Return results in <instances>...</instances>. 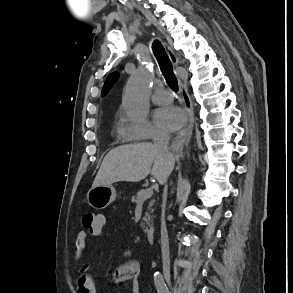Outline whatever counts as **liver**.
Listing matches in <instances>:
<instances>
[{
    "instance_id": "6515ba94",
    "label": "liver",
    "mask_w": 293,
    "mask_h": 293,
    "mask_svg": "<svg viewBox=\"0 0 293 293\" xmlns=\"http://www.w3.org/2000/svg\"><path fill=\"white\" fill-rule=\"evenodd\" d=\"M175 159L160 153L151 143H137L112 149L103 159L92 187L115 182H139L151 173L159 183L169 177Z\"/></svg>"
}]
</instances>
